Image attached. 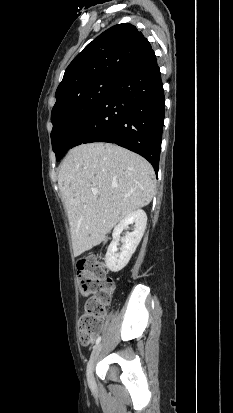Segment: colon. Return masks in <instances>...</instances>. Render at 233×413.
<instances>
[{
    "label": "colon",
    "instance_id": "obj_1",
    "mask_svg": "<svg viewBox=\"0 0 233 413\" xmlns=\"http://www.w3.org/2000/svg\"><path fill=\"white\" fill-rule=\"evenodd\" d=\"M77 278L83 295L93 293L81 314L78 330L80 342L89 345L101 328L115 284L107 277L100 258L94 255L82 257L78 261Z\"/></svg>",
    "mask_w": 233,
    "mask_h": 413
}]
</instances>
